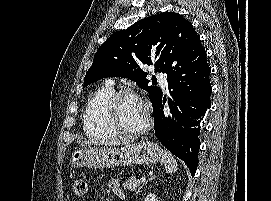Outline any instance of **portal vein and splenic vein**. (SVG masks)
Instances as JSON below:
<instances>
[{"label":"portal vein and splenic vein","instance_id":"portal-vein-and-splenic-vein-1","mask_svg":"<svg viewBox=\"0 0 271 201\" xmlns=\"http://www.w3.org/2000/svg\"><path fill=\"white\" fill-rule=\"evenodd\" d=\"M141 182H146V178H140Z\"/></svg>","mask_w":271,"mask_h":201}]
</instances>
